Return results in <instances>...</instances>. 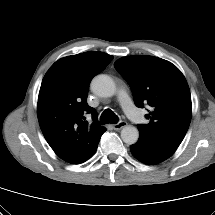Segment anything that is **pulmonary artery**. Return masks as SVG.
<instances>
[{
    "instance_id": "obj_1",
    "label": "pulmonary artery",
    "mask_w": 215,
    "mask_h": 215,
    "mask_svg": "<svg viewBox=\"0 0 215 215\" xmlns=\"http://www.w3.org/2000/svg\"><path fill=\"white\" fill-rule=\"evenodd\" d=\"M117 99L120 105L122 106L124 112L130 119H132L136 123L143 122L144 120L143 116L136 109L127 92L123 88L118 90Z\"/></svg>"
}]
</instances>
